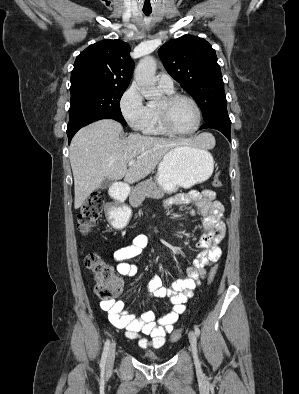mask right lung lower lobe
I'll return each instance as SVG.
<instances>
[{
	"instance_id": "obj_1",
	"label": "right lung lower lobe",
	"mask_w": 299,
	"mask_h": 394,
	"mask_svg": "<svg viewBox=\"0 0 299 394\" xmlns=\"http://www.w3.org/2000/svg\"><path fill=\"white\" fill-rule=\"evenodd\" d=\"M101 119H112L106 114H93V113H83L70 116V120L67 126V135L69 143L74 136V134L83 126H86L94 121Z\"/></svg>"
}]
</instances>
